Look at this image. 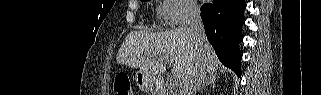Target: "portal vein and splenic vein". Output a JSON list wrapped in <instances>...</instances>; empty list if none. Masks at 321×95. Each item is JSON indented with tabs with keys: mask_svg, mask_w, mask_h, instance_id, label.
Instances as JSON below:
<instances>
[{
	"mask_svg": "<svg viewBox=\"0 0 321 95\" xmlns=\"http://www.w3.org/2000/svg\"><path fill=\"white\" fill-rule=\"evenodd\" d=\"M168 64H170V63H168ZM170 84L173 86L178 84V80L176 79L175 76L170 78Z\"/></svg>",
	"mask_w": 321,
	"mask_h": 95,
	"instance_id": "obj_1",
	"label": "portal vein and splenic vein"
}]
</instances>
